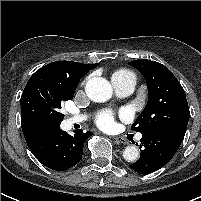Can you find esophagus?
<instances>
[{"label": "esophagus", "instance_id": "34e87169", "mask_svg": "<svg viewBox=\"0 0 201 201\" xmlns=\"http://www.w3.org/2000/svg\"><path fill=\"white\" fill-rule=\"evenodd\" d=\"M113 139L118 143L128 144V141L121 136L113 137Z\"/></svg>", "mask_w": 201, "mask_h": 201}]
</instances>
